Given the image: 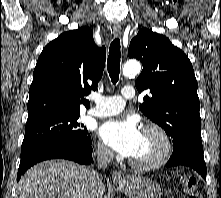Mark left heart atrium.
<instances>
[{"mask_svg": "<svg viewBox=\"0 0 221 198\" xmlns=\"http://www.w3.org/2000/svg\"><path fill=\"white\" fill-rule=\"evenodd\" d=\"M100 138L112 149L124 156H131L141 139V132L134 119L109 120L99 129Z\"/></svg>", "mask_w": 221, "mask_h": 198, "instance_id": "1", "label": "left heart atrium"}]
</instances>
